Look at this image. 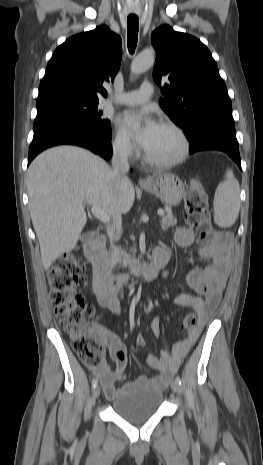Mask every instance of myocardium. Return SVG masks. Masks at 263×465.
Masks as SVG:
<instances>
[{
	"label": "myocardium",
	"mask_w": 263,
	"mask_h": 465,
	"mask_svg": "<svg viewBox=\"0 0 263 465\" xmlns=\"http://www.w3.org/2000/svg\"><path fill=\"white\" fill-rule=\"evenodd\" d=\"M163 127L172 130L180 140L181 148L177 156L168 160H157L145 152V160L152 166L157 168H169L182 163L189 154L190 142L185 131L176 123L165 121L162 123Z\"/></svg>",
	"instance_id": "1"
}]
</instances>
